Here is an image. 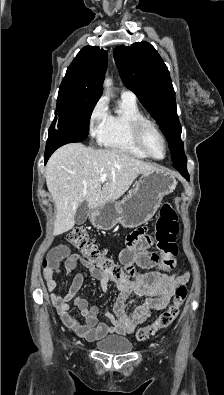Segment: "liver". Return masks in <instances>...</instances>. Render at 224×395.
Instances as JSON below:
<instances>
[{"label": "liver", "mask_w": 224, "mask_h": 395, "mask_svg": "<svg viewBox=\"0 0 224 395\" xmlns=\"http://www.w3.org/2000/svg\"><path fill=\"white\" fill-rule=\"evenodd\" d=\"M157 167L117 149H94L80 143L56 150L46 166L47 188L56 207L53 235L74 227L79 204L87 201L94 210L106 202L116 201L138 175ZM107 174L105 182L100 181Z\"/></svg>", "instance_id": "1"}]
</instances>
